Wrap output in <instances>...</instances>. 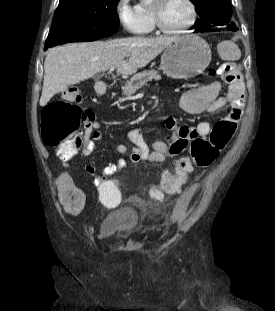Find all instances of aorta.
I'll list each match as a JSON object with an SVG mask.
<instances>
[{
    "mask_svg": "<svg viewBox=\"0 0 275 311\" xmlns=\"http://www.w3.org/2000/svg\"><path fill=\"white\" fill-rule=\"evenodd\" d=\"M145 4H150L152 0H142Z\"/></svg>",
    "mask_w": 275,
    "mask_h": 311,
    "instance_id": "1",
    "label": "aorta"
}]
</instances>
